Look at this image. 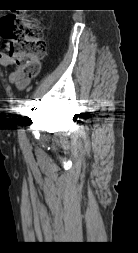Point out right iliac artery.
<instances>
[{
    "label": "right iliac artery",
    "mask_w": 138,
    "mask_h": 253,
    "mask_svg": "<svg viewBox=\"0 0 138 253\" xmlns=\"http://www.w3.org/2000/svg\"><path fill=\"white\" fill-rule=\"evenodd\" d=\"M30 111V108H29V101H26V104L24 105V108L22 109V112H21V117H20V120H19V123H20V129H19V132H20V136H19V139H23L24 138V134L25 132H23V125L26 123L27 119H28V113Z\"/></svg>",
    "instance_id": "right-iliac-artery-1"
}]
</instances>
